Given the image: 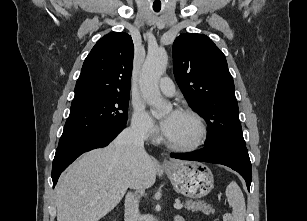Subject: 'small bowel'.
Returning <instances> with one entry per match:
<instances>
[{
	"label": "small bowel",
	"instance_id": "obj_1",
	"mask_svg": "<svg viewBox=\"0 0 307 221\" xmlns=\"http://www.w3.org/2000/svg\"><path fill=\"white\" fill-rule=\"evenodd\" d=\"M176 221H183L180 217H178L177 219H176Z\"/></svg>",
	"mask_w": 307,
	"mask_h": 221
}]
</instances>
